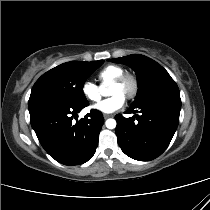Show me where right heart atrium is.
<instances>
[{
	"instance_id": "d8ad5b80",
	"label": "right heart atrium",
	"mask_w": 210,
	"mask_h": 210,
	"mask_svg": "<svg viewBox=\"0 0 210 210\" xmlns=\"http://www.w3.org/2000/svg\"><path fill=\"white\" fill-rule=\"evenodd\" d=\"M83 97L90 103H94L101 98V89L98 85L90 80H85L81 85Z\"/></svg>"
}]
</instances>
